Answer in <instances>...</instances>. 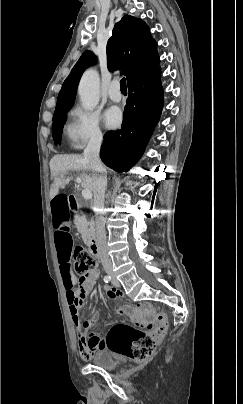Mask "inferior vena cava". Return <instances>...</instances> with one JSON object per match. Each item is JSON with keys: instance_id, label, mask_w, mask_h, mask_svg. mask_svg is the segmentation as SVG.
<instances>
[{"instance_id": "1", "label": "inferior vena cava", "mask_w": 243, "mask_h": 404, "mask_svg": "<svg viewBox=\"0 0 243 404\" xmlns=\"http://www.w3.org/2000/svg\"><path fill=\"white\" fill-rule=\"evenodd\" d=\"M102 142V136L100 134H94L91 136L87 148L84 150L85 160H89L93 180V210L95 212V230H96V244L98 254L102 264H104L105 272L110 274L112 272V264L110 262L108 250H107V240H106V230H105V218L104 214V200H105V190L107 186L106 170L99 158V150Z\"/></svg>"}]
</instances>
